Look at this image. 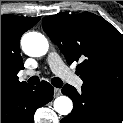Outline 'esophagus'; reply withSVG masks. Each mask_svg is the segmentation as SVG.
<instances>
[{"label":"esophagus","instance_id":"34e87169","mask_svg":"<svg viewBox=\"0 0 123 123\" xmlns=\"http://www.w3.org/2000/svg\"><path fill=\"white\" fill-rule=\"evenodd\" d=\"M61 95V90L57 87L54 88V97H58Z\"/></svg>","mask_w":123,"mask_h":123}]
</instances>
